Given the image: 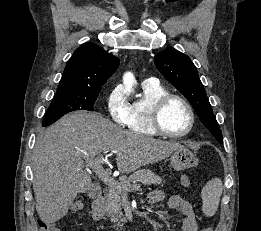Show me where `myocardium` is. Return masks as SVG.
Segmentation results:
<instances>
[{
    "label": "myocardium",
    "mask_w": 261,
    "mask_h": 231,
    "mask_svg": "<svg viewBox=\"0 0 261 231\" xmlns=\"http://www.w3.org/2000/svg\"><path fill=\"white\" fill-rule=\"evenodd\" d=\"M173 99H177L181 101L186 107L189 115V125L188 127L180 132V133H171L168 132L162 124V112L167 103ZM151 124L153 128L156 130L158 134L163 136L171 137V138H181L189 134L195 124V114L192 105L190 102L183 96L175 94V93H166L162 97H160L152 107L151 111Z\"/></svg>",
    "instance_id": "f54148a6"
}]
</instances>
